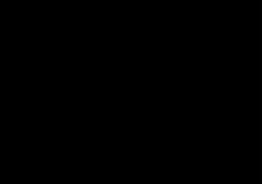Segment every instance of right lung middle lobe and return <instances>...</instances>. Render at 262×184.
Listing matches in <instances>:
<instances>
[{
    "label": "right lung middle lobe",
    "instance_id": "right-lung-middle-lobe-1",
    "mask_svg": "<svg viewBox=\"0 0 262 184\" xmlns=\"http://www.w3.org/2000/svg\"><path fill=\"white\" fill-rule=\"evenodd\" d=\"M102 38V36L89 30H75L64 35L57 45V51L51 68V78L58 81V90L79 92L85 94L95 93L94 85L91 82L88 71L89 82L80 86V62L88 56L89 50ZM87 44L88 49H83ZM86 52L85 56L83 53ZM83 55V56H82ZM82 56V58H81Z\"/></svg>",
    "mask_w": 262,
    "mask_h": 184
}]
</instances>
